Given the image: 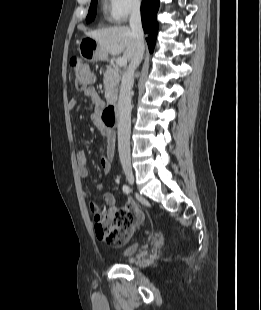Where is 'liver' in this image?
<instances>
[{"instance_id":"6515ba94","label":"liver","mask_w":261,"mask_h":310,"mask_svg":"<svg viewBox=\"0 0 261 310\" xmlns=\"http://www.w3.org/2000/svg\"><path fill=\"white\" fill-rule=\"evenodd\" d=\"M86 35L98 42L104 55L123 53V58L131 61L136 53L137 42L131 28L127 26L109 27L87 32Z\"/></svg>"}]
</instances>
